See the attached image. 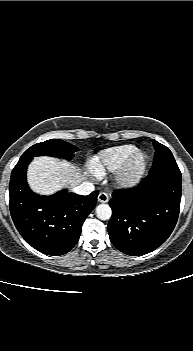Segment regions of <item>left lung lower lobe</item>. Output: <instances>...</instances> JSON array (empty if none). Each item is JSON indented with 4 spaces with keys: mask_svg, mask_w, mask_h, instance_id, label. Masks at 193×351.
I'll return each mask as SVG.
<instances>
[{
    "mask_svg": "<svg viewBox=\"0 0 193 351\" xmlns=\"http://www.w3.org/2000/svg\"><path fill=\"white\" fill-rule=\"evenodd\" d=\"M181 191V172L171 168L148 175L129 191L114 192L108 224L114 246L130 256L158 248L176 225Z\"/></svg>",
    "mask_w": 193,
    "mask_h": 351,
    "instance_id": "left-lung-lower-lobe-1",
    "label": "left lung lower lobe"
}]
</instances>
